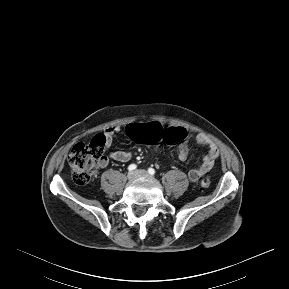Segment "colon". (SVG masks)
<instances>
[{"mask_svg":"<svg viewBox=\"0 0 289 289\" xmlns=\"http://www.w3.org/2000/svg\"><path fill=\"white\" fill-rule=\"evenodd\" d=\"M125 135L138 143L156 144L164 141L169 144L183 142L187 138V131L179 127L167 128L161 121L134 122L125 128ZM105 138L97 135L90 143H77L68 156L72 169L73 180L78 185L87 184L104 160ZM210 179L205 177L200 185L209 188Z\"/></svg>","mask_w":289,"mask_h":289,"instance_id":"colon-1","label":"colon"}]
</instances>
